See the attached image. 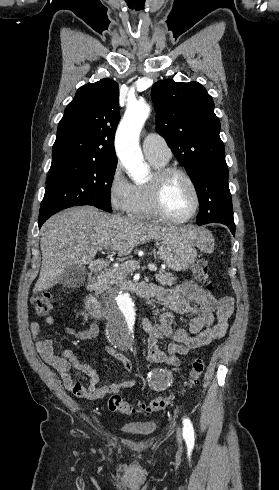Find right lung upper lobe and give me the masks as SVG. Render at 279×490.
I'll use <instances>...</instances> for the list:
<instances>
[{
	"mask_svg": "<svg viewBox=\"0 0 279 490\" xmlns=\"http://www.w3.org/2000/svg\"><path fill=\"white\" fill-rule=\"evenodd\" d=\"M119 119V87L115 81L102 79L79 88L59 122L52 164L116 159L114 134Z\"/></svg>",
	"mask_w": 279,
	"mask_h": 490,
	"instance_id": "cb5924a9",
	"label": "right lung upper lobe"
}]
</instances>
